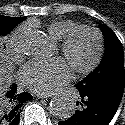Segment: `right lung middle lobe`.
<instances>
[{
	"label": "right lung middle lobe",
	"mask_w": 125,
	"mask_h": 125,
	"mask_svg": "<svg viewBox=\"0 0 125 125\" xmlns=\"http://www.w3.org/2000/svg\"><path fill=\"white\" fill-rule=\"evenodd\" d=\"M25 19L26 17H7L0 15V35L8 34L15 26ZM8 104L9 101L6 97L0 99V106H5Z\"/></svg>",
	"instance_id": "obj_1"
}]
</instances>
